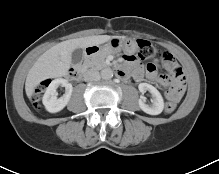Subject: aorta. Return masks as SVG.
Wrapping results in <instances>:
<instances>
[{"label":"aorta","mask_w":219,"mask_h":174,"mask_svg":"<svg viewBox=\"0 0 219 174\" xmlns=\"http://www.w3.org/2000/svg\"><path fill=\"white\" fill-rule=\"evenodd\" d=\"M101 77L102 79H105V80H109L113 77V71L111 68H104L102 71H101Z\"/></svg>","instance_id":"1"}]
</instances>
